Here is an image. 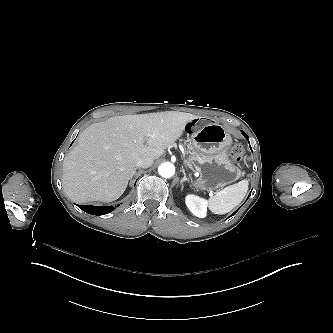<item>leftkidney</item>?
I'll use <instances>...</instances> for the list:
<instances>
[{
	"instance_id": "obj_1",
	"label": "left kidney",
	"mask_w": 333,
	"mask_h": 333,
	"mask_svg": "<svg viewBox=\"0 0 333 333\" xmlns=\"http://www.w3.org/2000/svg\"><path fill=\"white\" fill-rule=\"evenodd\" d=\"M185 204L188 209L199 218H205L207 215L208 201L199 196L188 194L185 197Z\"/></svg>"
}]
</instances>
